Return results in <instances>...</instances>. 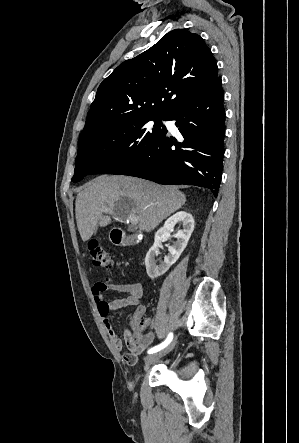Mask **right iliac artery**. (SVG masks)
<instances>
[{
  "instance_id": "82829eb1",
  "label": "right iliac artery",
  "mask_w": 299,
  "mask_h": 443,
  "mask_svg": "<svg viewBox=\"0 0 299 443\" xmlns=\"http://www.w3.org/2000/svg\"><path fill=\"white\" fill-rule=\"evenodd\" d=\"M172 339H173V333H169V335L165 339V341L162 342L161 344L149 349L148 354L156 353V352L164 349L165 347H167L171 343Z\"/></svg>"
}]
</instances>
